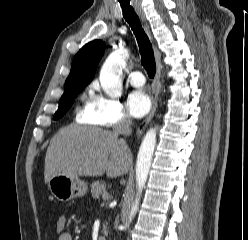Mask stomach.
<instances>
[{"label":"stomach","instance_id":"stomach-1","mask_svg":"<svg viewBox=\"0 0 248 240\" xmlns=\"http://www.w3.org/2000/svg\"><path fill=\"white\" fill-rule=\"evenodd\" d=\"M49 190L59 201L67 202L76 197L84 196L88 191V185L79 178L65 175H56L48 182Z\"/></svg>","mask_w":248,"mask_h":240}]
</instances>
